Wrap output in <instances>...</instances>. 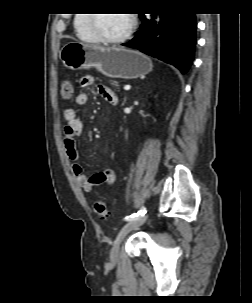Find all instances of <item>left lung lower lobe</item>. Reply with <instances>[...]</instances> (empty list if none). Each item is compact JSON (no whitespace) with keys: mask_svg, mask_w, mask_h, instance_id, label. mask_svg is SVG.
I'll return each instance as SVG.
<instances>
[{"mask_svg":"<svg viewBox=\"0 0 252 303\" xmlns=\"http://www.w3.org/2000/svg\"><path fill=\"white\" fill-rule=\"evenodd\" d=\"M142 25L136 36L123 46L132 47L174 65L183 74L194 58L196 44L195 14H140Z\"/></svg>","mask_w":252,"mask_h":303,"instance_id":"0a47b994","label":"left lung lower lobe"}]
</instances>
